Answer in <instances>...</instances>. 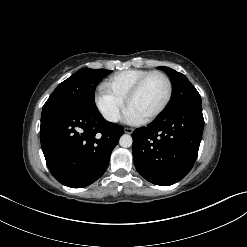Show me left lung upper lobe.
<instances>
[{
  "label": "left lung upper lobe",
  "instance_id": "obj_1",
  "mask_svg": "<svg viewBox=\"0 0 247 247\" xmlns=\"http://www.w3.org/2000/svg\"><path fill=\"white\" fill-rule=\"evenodd\" d=\"M158 69L163 70L168 74L173 87L172 98L166 110L185 104L201 103L200 94L184 74L169 67H158Z\"/></svg>",
  "mask_w": 247,
  "mask_h": 247
}]
</instances>
